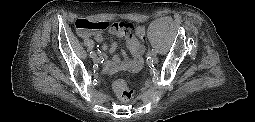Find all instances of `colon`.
Instances as JSON below:
<instances>
[{
  "mask_svg": "<svg viewBox=\"0 0 255 122\" xmlns=\"http://www.w3.org/2000/svg\"><path fill=\"white\" fill-rule=\"evenodd\" d=\"M76 32L80 36H85L93 31H104L107 29L126 30L131 33H135L139 38H142L145 34L143 26L135 22H118L110 23L104 20H89L85 18L77 19L74 23ZM113 89L122 103H129L132 100L133 93L127 87L123 80H117L113 84Z\"/></svg>",
  "mask_w": 255,
  "mask_h": 122,
  "instance_id": "obj_1",
  "label": "colon"
}]
</instances>
